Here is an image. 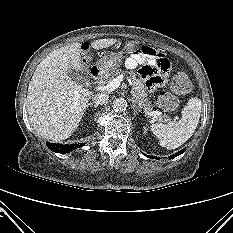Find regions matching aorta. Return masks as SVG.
I'll use <instances>...</instances> for the list:
<instances>
[{"label":"aorta","instance_id":"762f6f07","mask_svg":"<svg viewBox=\"0 0 233 233\" xmlns=\"http://www.w3.org/2000/svg\"><path fill=\"white\" fill-rule=\"evenodd\" d=\"M127 107V101L124 98H116L112 103V108L115 112H122Z\"/></svg>","mask_w":233,"mask_h":233}]
</instances>
